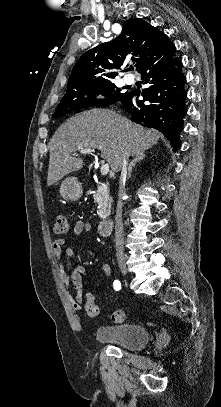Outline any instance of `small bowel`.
<instances>
[{"label":"small bowel","mask_w":221,"mask_h":407,"mask_svg":"<svg viewBox=\"0 0 221 407\" xmlns=\"http://www.w3.org/2000/svg\"><path fill=\"white\" fill-rule=\"evenodd\" d=\"M91 231V225L83 220L77 221L73 226V235L80 236L83 233ZM53 254L59 259V279L65 287L67 297L72 308L81 312L84 307L83 284L86 279V269L82 266L73 267L72 257L74 255L73 248L68 246L66 239L59 238L53 243ZM65 259V263L61 262ZM102 273L108 277L111 274V269L108 265L102 267ZM72 285L76 294L73 296L69 291V286Z\"/></svg>","instance_id":"1"}]
</instances>
